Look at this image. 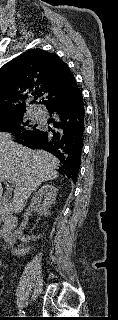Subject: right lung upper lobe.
Listing matches in <instances>:
<instances>
[{
	"label": "right lung upper lobe",
	"mask_w": 118,
	"mask_h": 320,
	"mask_svg": "<svg viewBox=\"0 0 118 320\" xmlns=\"http://www.w3.org/2000/svg\"><path fill=\"white\" fill-rule=\"evenodd\" d=\"M78 91L69 67L57 55L29 50L0 68V119L23 117L30 97H42L39 103L48 107Z\"/></svg>",
	"instance_id": "obj_1"
}]
</instances>
